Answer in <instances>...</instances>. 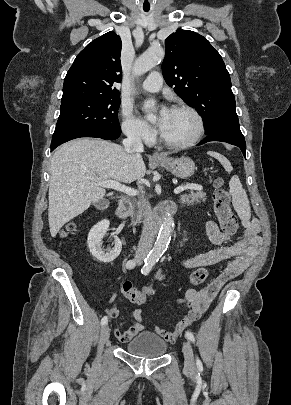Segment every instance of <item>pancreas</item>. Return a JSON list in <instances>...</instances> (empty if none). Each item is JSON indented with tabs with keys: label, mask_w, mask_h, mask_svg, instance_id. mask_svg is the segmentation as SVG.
<instances>
[{
	"label": "pancreas",
	"mask_w": 291,
	"mask_h": 405,
	"mask_svg": "<svg viewBox=\"0 0 291 405\" xmlns=\"http://www.w3.org/2000/svg\"><path fill=\"white\" fill-rule=\"evenodd\" d=\"M206 200V194L199 191V192H194L191 191L189 194H183L179 198V202L184 206V205H195L200 203L201 201ZM132 219L134 224L140 223L141 220V211H138L137 213L131 214Z\"/></svg>",
	"instance_id": "1"
}]
</instances>
